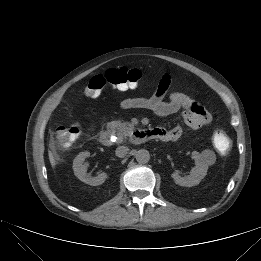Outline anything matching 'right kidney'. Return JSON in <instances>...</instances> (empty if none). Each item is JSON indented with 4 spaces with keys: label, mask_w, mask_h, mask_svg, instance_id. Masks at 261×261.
Segmentation results:
<instances>
[{
    "label": "right kidney",
    "mask_w": 261,
    "mask_h": 261,
    "mask_svg": "<svg viewBox=\"0 0 261 261\" xmlns=\"http://www.w3.org/2000/svg\"><path fill=\"white\" fill-rule=\"evenodd\" d=\"M90 156V153L85 151L79 153L73 160V170L75 176L82 182L91 186H99L107 179V173L103 172L96 177L87 175V165L84 164V160Z\"/></svg>",
    "instance_id": "1"
}]
</instances>
